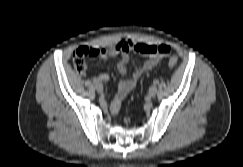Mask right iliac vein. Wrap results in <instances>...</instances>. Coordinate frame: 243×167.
Returning a JSON list of instances; mask_svg holds the SVG:
<instances>
[{
	"mask_svg": "<svg viewBox=\"0 0 243 167\" xmlns=\"http://www.w3.org/2000/svg\"><path fill=\"white\" fill-rule=\"evenodd\" d=\"M96 90L98 93H102L103 92V86L101 84H96Z\"/></svg>",
	"mask_w": 243,
	"mask_h": 167,
	"instance_id": "1",
	"label": "right iliac vein"
}]
</instances>
